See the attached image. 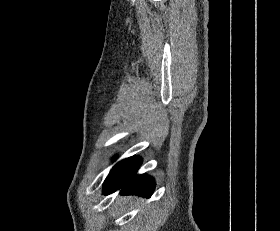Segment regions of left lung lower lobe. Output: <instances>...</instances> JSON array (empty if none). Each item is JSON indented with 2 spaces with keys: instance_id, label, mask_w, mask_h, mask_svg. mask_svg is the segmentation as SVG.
I'll use <instances>...</instances> for the list:
<instances>
[{
  "instance_id": "1",
  "label": "left lung lower lobe",
  "mask_w": 280,
  "mask_h": 231,
  "mask_svg": "<svg viewBox=\"0 0 280 231\" xmlns=\"http://www.w3.org/2000/svg\"><path fill=\"white\" fill-rule=\"evenodd\" d=\"M141 164L139 157H130L118 162L103 185V194H110L122 188L121 194H136L143 197H150L155 184L151 177L147 175H136V171Z\"/></svg>"
}]
</instances>
